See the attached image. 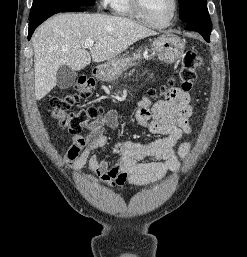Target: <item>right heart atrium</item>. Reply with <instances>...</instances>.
Instances as JSON below:
<instances>
[{
  "label": "right heart atrium",
  "instance_id": "obj_1",
  "mask_svg": "<svg viewBox=\"0 0 247 257\" xmlns=\"http://www.w3.org/2000/svg\"><path fill=\"white\" fill-rule=\"evenodd\" d=\"M110 3V0H99V4L102 8H106Z\"/></svg>",
  "mask_w": 247,
  "mask_h": 257
}]
</instances>
